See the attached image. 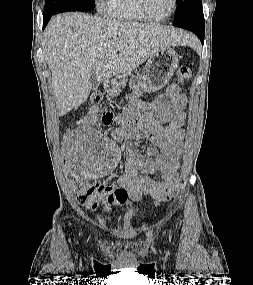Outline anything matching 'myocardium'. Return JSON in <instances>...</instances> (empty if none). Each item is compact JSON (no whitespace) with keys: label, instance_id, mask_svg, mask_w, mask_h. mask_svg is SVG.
<instances>
[{"label":"myocardium","instance_id":"obj_1","mask_svg":"<svg viewBox=\"0 0 253 285\" xmlns=\"http://www.w3.org/2000/svg\"><path fill=\"white\" fill-rule=\"evenodd\" d=\"M172 2H173V5H172V9L170 13L167 16L162 17V18H155L148 14L146 7H145V0H137V6H138L139 12L146 20L152 21V22H164L170 19L177 10L178 0H172Z\"/></svg>","mask_w":253,"mask_h":285}]
</instances>
